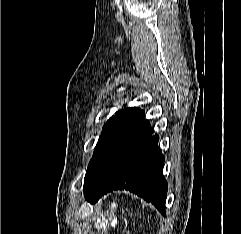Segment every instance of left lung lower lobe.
Wrapping results in <instances>:
<instances>
[{
	"mask_svg": "<svg viewBox=\"0 0 241 234\" xmlns=\"http://www.w3.org/2000/svg\"><path fill=\"white\" fill-rule=\"evenodd\" d=\"M143 115L144 111L137 108L123 125L90 183L85 196L88 202H96L112 190L126 189L166 215L164 156L157 145L158 136L152 135L153 130Z\"/></svg>",
	"mask_w": 241,
	"mask_h": 234,
	"instance_id": "left-lung-lower-lobe-1",
	"label": "left lung lower lobe"
}]
</instances>
